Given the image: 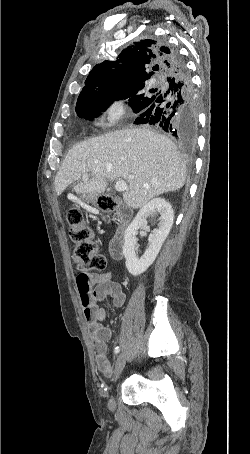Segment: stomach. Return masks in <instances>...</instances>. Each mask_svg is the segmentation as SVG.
Returning <instances> with one entry per match:
<instances>
[{
	"mask_svg": "<svg viewBox=\"0 0 250 454\" xmlns=\"http://www.w3.org/2000/svg\"><path fill=\"white\" fill-rule=\"evenodd\" d=\"M98 195L97 194H84L83 195V198L87 201V202H95L96 199H97Z\"/></svg>",
	"mask_w": 250,
	"mask_h": 454,
	"instance_id": "stomach-1",
	"label": "stomach"
}]
</instances>
